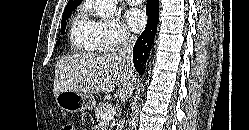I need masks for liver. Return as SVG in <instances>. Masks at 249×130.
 Listing matches in <instances>:
<instances>
[{
    "instance_id": "6515ba94",
    "label": "liver",
    "mask_w": 249,
    "mask_h": 130,
    "mask_svg": "<svg viewBox=\"0 0 249 130\" xmlns=\"http://www.w3.org/2000/svg\"><path fill=\"white\" fill-rule=\"evenodd\" d=\"M137 84V75L129 73L117 61L116 54L82 53L60 59L56 63L54 96L64 91L110 93L125 101Z\"/></svg>"
}]
</instances>
